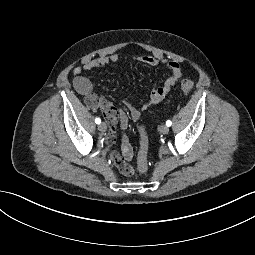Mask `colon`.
Here are the masks:
<instances>
[{
    "label": "colon",
    "mask_w": 255,
    "mask_h": 255,
    "mask_svg": "<svg viewBox=\"0 0 255 255\" xmlns=\"http://www.w3.org/2000/svg\"><path fill=\"white\" fill-rule=\"evenodd\" d=\"M194 83L190 79H185L181 82L180 88L184 93H188L193 89ZM140 133V146L137 159V168L140 172L144 173L147 170V152L149 147L148 132L145 126H141Z\"/></svg>",
    "instance_id": "obj_1"
}]
</instances>
